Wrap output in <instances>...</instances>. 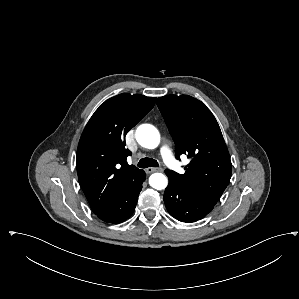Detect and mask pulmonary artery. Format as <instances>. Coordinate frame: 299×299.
Listing matches in <instances>:
<instances>
[{
    "mask_svg": "<svg viewBox=\"0 0 299 299\" xmlns=\"http://www.w3.org/2000/svg\"><path fill=\"white\" fill-rule=\"evenodd\" d=\"M161 156L165 162V164L170 167L175 172L180 170V165L176 162L172 150L166 144H163L160 148Z\"/></svg>",
    "mask_w": 299,
    "mask_h": 299,
    "instance_id": "obj_1",
    "label": "pulmonary artery"
}]
</instances>
